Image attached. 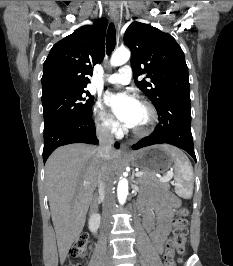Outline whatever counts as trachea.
Returning <instances> with one entry per match:
<instances>
[{"label":"trachea","mask_w":233,"mask_h":266,"mask_svg":"<svg viewBox=\"0 0 233 266\" xmlns=\"http://www.w3.org/2000/svg\"><path fill=\"white\" fill-rule=\"evenodd\" d=\"M115 44H116L115 26L113 23H110L108 30H107V37H106L107 55H110L111 52L114 50Z\"/></svg>","instance_id":"3493384b"}]
</instances>
